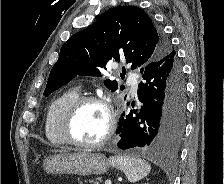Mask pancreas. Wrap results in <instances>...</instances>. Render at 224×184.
<instances>
[{"mask_svg":"<svg viewBox=\"0 0 224 184\" xmlns=\"http://www.w3.org/2000/svg\"><path fill=\"white\" fill-rule=\"evenodd\" d=\"M91 184H99L97 181H93V180H90L89 181Z\"/></svg>","mask_w":224,"mask_h":184,"instance_id":"obj_1","label":"pancreas"}]
</instances>
